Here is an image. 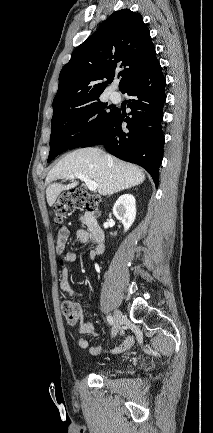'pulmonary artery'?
Instances as JSON below:
<instances>
[{"label":"pulmonary artery","instance_id":"e3ab8cb5","mask_svg":"<svg viewBox=\"0 0 213 433\" xmlns=\"http://www.w3.org/2000/svg\"><path fill=\"white\" fill-rule=\"evenodd\" d=\"M110 97H111V100L113 102H118V101H120V98H121L120 94L118 92H112Z\"/></svg>","mask_w":213,"mask_h":433}]
</instances>
